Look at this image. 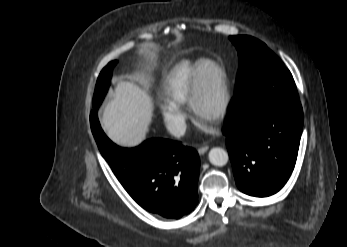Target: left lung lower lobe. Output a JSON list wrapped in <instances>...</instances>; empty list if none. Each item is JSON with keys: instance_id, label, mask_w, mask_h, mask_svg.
<instances>
[{"instance_id": "obj_1", "label": "left lung lower lobe", "mask_w": 347, "mask_h": 247, "mask_svg": "<svg viewBox=\"0 0 347 247\" xmlns=\"http://www.w3.org/2000/svg\"><path fill=\"white\" fill-rule=\"evenodd\" d=\"M303 111L285 67L257 77L235 94L223 128L238 188L266 197L289 179L298 155Z\"/></svg>"}]
</instances>
